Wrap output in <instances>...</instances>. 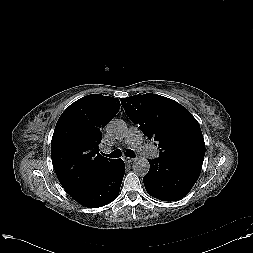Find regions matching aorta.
I'll return each instance as SVG.
<instances>
[{
    "label": "aorta",
    "instance_id": "1",
    "mask_svg": "<svg viewBox=\"0 0 253 253\" xmlns=\"http://www.w3.org/2000/svg\"><path fill=\"white\" fill-rule=\"evenodd\" d=\"M107 132L112 136H121L127 127L121 120H113L107 125ZM150 169L149 161L146 158H138L134 161L133 170L139 176H145Z\"/></svg>",
    "mask_w": 253,
    "mask_h": 253
}]
</instances>
